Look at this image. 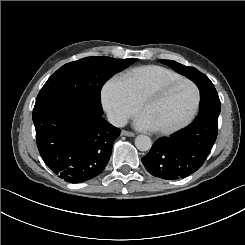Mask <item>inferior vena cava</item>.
Returning <instances> with one entry per match:
<instances>
[{"instance_id":"602c4592","label":"inferior vena cava","mask_w":245,"mask_h":245,"mask_svg":"<svg viewBox=\"0 0 245 245\" xmlns=\"http://www.w3.org/2000/svg\"><path fill=\"white\" fill-rule=\"evenodd\" d=\"M108 120L116 127H124L127 124V119L123 115L116 112L108 113Z\"/></svg>"}]
</instances>
